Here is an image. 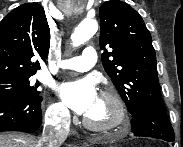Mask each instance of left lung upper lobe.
<instances>
[{"instance_id": "5c2ea615", "label": "left lung upper lobe", "mask_w": 183, "mask_h": 147, "mask_svg": "<svg viewBox=\"0 0 183 147\" xmlns=\"http://www.w3.org/2000/svg\"><path fill=\"white\" fill-rule=\"evenodd\" d=\"M99 12L103 67L128 111L165 109L151 35L139 13L122 1H107Z\"/></svg>"}]
</instances>
